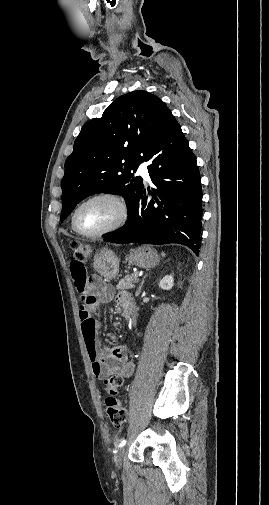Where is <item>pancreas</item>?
<instances>
[{
    "label": "pancreas",
    "instance_id": "1",
    "mask_svg": "<svg viewBox=\"0 0 269 505\" xmlns=\"http://www.w3.org/2000/svg\"><path fill=\"white\" fill-rule=\"evenodd\" d=\"M138 273L134 272L126 275L122 278L116 286L117 290H127L133 289L135 287V283L138 281Z\"/></svg>",
    "mask_w": 269,
    "mask_h": 505
}]
</instances>
